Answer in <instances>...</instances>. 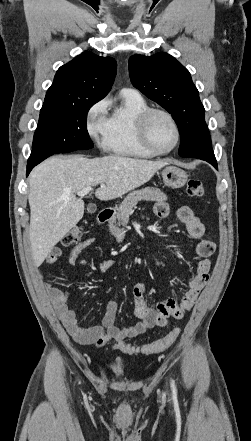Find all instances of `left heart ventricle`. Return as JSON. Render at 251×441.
<instances>
[{"label": "left heart ventricle", "instance_id": "left-heart-ventricle-1", "mask_svg": "<svg viewBox=\"0 0 251 441\" xmlns=\"http://www.w3.org/2000/svg\"><path fill=\"white\" fill-rule=\"evenodd\" d=\"M149 135L152 144L159 150H168L174 145L175 131L168 120L162 114H155L149 124Z\"/></svg>", "mask_w": 251, "mask_h": 441}]
</instances>
